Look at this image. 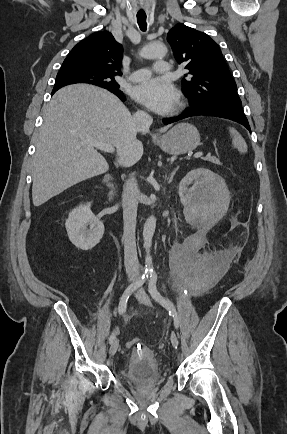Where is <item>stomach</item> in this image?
<instances>
[{
  "label": "stomach",
  "mask_w": 287,
  "mask_h": 434,
  "mask_svg": "<svg viewBox=\"0 0 287 434\" xmlns=\"http://www.w3.org/2000/svg\"><path fill=\"white\" fill-rule=\"evenodd\" d=\"M157 143L168 154H185L198 147L200 144V134L193 125L179 123L164 134Z\"/></svg>",
  "instance_id": "stomach-1"
}]
</instances>
